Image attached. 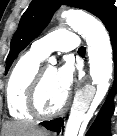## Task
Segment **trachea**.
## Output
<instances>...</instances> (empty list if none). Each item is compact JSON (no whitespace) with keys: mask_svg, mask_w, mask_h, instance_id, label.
I'll return each mask as SVG.
<instances>
[{"mask_svg":"<svg viewBox=\"0 0 117 136\" xmlns=\"http://www.w3.org/2000/svg\"><path fill=\"white\" fill-rule=\"evenodd\" d=\"M78 52H79V53L85 52V47H84V46H81V47L78 49Z\"/></svg>","mask_w":117,"mask_h":136,"instance_id":"3493384b","label":"trachea"}]
</instances>
